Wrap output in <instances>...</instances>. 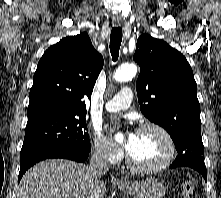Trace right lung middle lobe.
<instances>
[{
    "label": "right lung middle lobe",
    "instance_id": "1",
    "mask_svg": "<svg viewBox=\"0 0 221 198\" xmlns=\"http://www.w3.org/2000/svg\"><path fill=\"white\" fill-rule=\"evenodd\" d=\"M85 115H50L28 121L20 159L48 146L68 145L90 151Z\"/></svg>",
    "mask_w": 221,
    "mask_h": 198
}]
</instances>
